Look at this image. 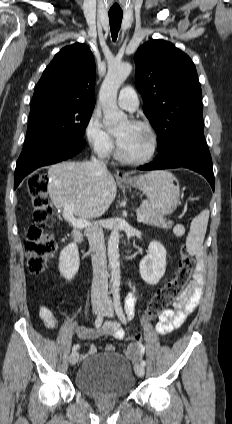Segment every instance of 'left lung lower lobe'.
I'll list each match as a JSON object with an SVG mask.
<instances>
[{
  "label": "left lung lower lobe",
  "instance_id": "0a47b994",
  "mask_svg": "<svg viewBox=\"0 0 232 424\" xmlns=\"http://www.w3.org/2000/svg\"><path fill=\"white\" fill-rule=\"evenodd\" d=\"M158 151L159 157L155 161L143 165L139 169L189 168L202 174L214 191L212 159L205 141L202 124L180 130Z\"/></svg>",
  "mask_w": 232,
  "mask_h": 424
}]
</instances>
